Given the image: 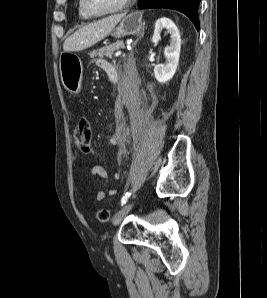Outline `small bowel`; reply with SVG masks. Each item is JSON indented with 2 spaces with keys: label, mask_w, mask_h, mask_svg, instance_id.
Segmentation results:
<instances>
[{
  "label": "small bowel",
  "mask_w": 267,
  "mask_h": 298,
  "mask_svg": "<svg viewBox=\"0 0 267 298\" xmlns=\"http://www.w3.org/2000/svg\"><path fill=\"white\" fill-rule=\"evenodd\" d=\"M95 64L100 67L102 70H104L107 75L108 73L114 68L113 65L108 62L107 60L103 58H99L95 60ZM129 112L131 116H134L137 112V102L135 100H132L129 106ZM91 173L94 176H97L101 179H107L108 178V172L102 165H94L91 169ZM117 193L116 189H110L108 191L109 195H115ZM106 197V192L104 191H98L96 194V200L102 201Z\"/></svg>",
  "instance_id": "c3829d8e"
}]
</instances>
